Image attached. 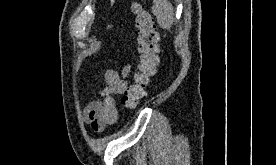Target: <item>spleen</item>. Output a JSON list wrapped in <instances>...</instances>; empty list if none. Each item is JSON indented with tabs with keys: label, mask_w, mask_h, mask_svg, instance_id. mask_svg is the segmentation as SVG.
<instances>
[{
	"label": "spleen",
	"mask_w": 276,
	"mask_h": 165,
	"mask_svg": "<svg viewBox=\"0 0 276 165\" xmlns=\"http://www.w3.org/2000/svg\"><path fill=\"white\" fill-rule=\"evenodd\" d=\"M152 13L162 29L169 30L174 23V9L168 0H153Z\"/></svg>",
	"instance_id": "1"
}]
</instances>
